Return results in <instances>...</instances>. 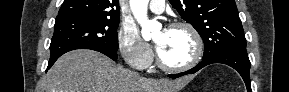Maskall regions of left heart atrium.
<instances>
[{"instance_id":"obj_1","label":"left heart atrium","mask_w":289,"mask_h":92,"mask_svg":"<svg viewBox=\"0 0 289 92\" xmlns=\"http://www.w3.org/2000/svg\"><path fill=\"white\" fill-rule=\"evenodd\" d=\"M168 31H169V29H167V28L163 29V30H162L161 38L156 41L155 46H156V49H157L158 53L160 52V50H161L162 47H163V42H164L165 37H166L167 34H168Z\"/></svg>"}]
</instances>
